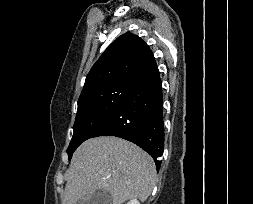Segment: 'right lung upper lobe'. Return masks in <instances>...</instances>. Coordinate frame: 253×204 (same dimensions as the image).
<instances>
[{
	"mask_svg": "<svg viewBox=\"0 0 253 204\" xmlns=\"http://www.w3.org/2000/svg\"><path fill=\"white\" fill-rule=\"evenodd\" d=\"M155 66L156 61L149 46L137 35L125 33L93 65L81 95L114 82H137Z\"/></svg>",
	"mask_w": 253,
	"mask_h": 204,
	"instance_id": "cb5924a9",
	"label": "right lung upper lobe"
}]
</instances>
